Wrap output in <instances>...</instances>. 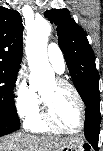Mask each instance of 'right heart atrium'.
I'll list each match as a JSON object with an SVG mask.
<instances>
[{
    "label": "right heart atrium",
    "instance_id": "d8ad5b80",
    "mask_svg": "<svg viewBox=\"0 0 103 151\" xmlns=\"http://www.w3.org/2000/svg\"><path fill=\"white\" fill-rule=\"evenodd\" d=\"M14 103L20 117L28 119L39 107L38 95L29 87L20 73L14 83Z\"/></svg>",
    "mask_w": 103,
    "mask_h": 151
}]
</instances>
